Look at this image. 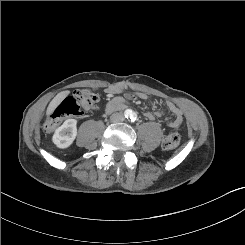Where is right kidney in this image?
Instances as JSON below:
<instances>
[{
    "mask_svg": "<svg viewBox=\"0 0 245 245\" xmlns=\"http://www.w3.org/2000/svg\"><path fill=\"white\" fill-rule=\"evenodd\" d=\"M77 121L75 119H67L60 127L55 130L52 137L53 143L58 148H68L77 136Z\"/></svg>",
    "mask_w": 245,
    "mask_h": 245,
    "instance_id": "ca27d5eb",
    "label": "right kidney"
}]
</instances>
